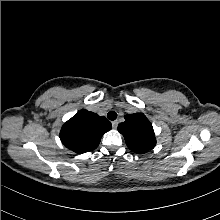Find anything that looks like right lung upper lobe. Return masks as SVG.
<instances>
[{
	"instance_id": "obj_1",
	"label": "right lung upper lobe",
	"mask_w": 220,
	"mask_h": 220,
	"mask_svg": "<svg viewBox=\"0 0 220 220\" xmlns=\"http://www.w3.org/2000/svg\"><path fill=\"white\" fill-rule=\"evenodd\" d=\"M111 128L105 117L82 109L63 125L60 139L64 146L82 154L97 148L103 134Z\"/></svg>"
}]
</instances>
